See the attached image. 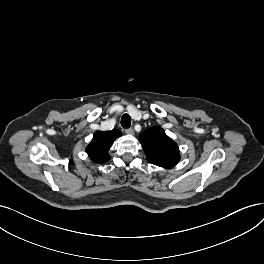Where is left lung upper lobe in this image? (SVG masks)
<instances>
[{
  "label": "left lung upper lobe",
  "instance_id": "1",
  "mask_svg": "<svg viewBox=\"0 0 264 264\" xmlns=\"http://www.w3.org/2000/svg\"><path fill=\"white\" fill-rule=\"evenodd\" d=\"M139 141L147 161L154 165L171 168L180 160L177 144L160 127H152L142 132Z\"/></svg>",
  "mask_w": 264,
  "mask_h": 264
}]
</instances>
